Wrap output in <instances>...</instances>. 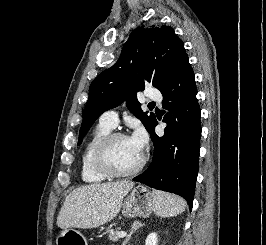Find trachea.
<instances>
[{"mask_svg": "<svg viewBox=\"0 0 266 245\" xmlns=\"http://www.w3.org/2000/svg\"><path fill=\"white\" fill-rule=\"evenodd\" d=\"M151 104H154V105H155V102H150V104H149V105H151Z\"/></svg>", "mask_w": 266, "mask_h": 245, "instance_id": "trachea-1", "label": "trachea"}]
</instances>
